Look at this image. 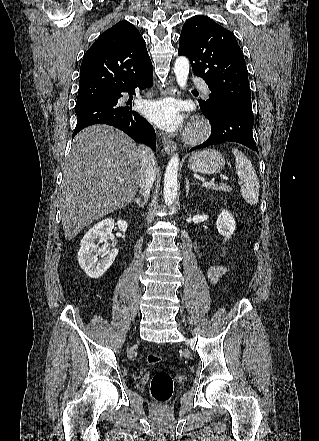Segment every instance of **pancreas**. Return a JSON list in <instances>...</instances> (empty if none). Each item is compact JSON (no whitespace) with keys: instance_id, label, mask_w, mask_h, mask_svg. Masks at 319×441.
<instances>
[{"instance_id":"cf45deb5","label":"pancreas","mask_w":319,"mask_h":441,"mask_svg":"<svg viewBox=\"0 0 319 441\" xmlns=\"http://www.w3.org/2000/svg\"><path fill=\"white\" fill-rule=\"evenodd\" d=\"M209 188L213 189V190H220L223 192H231L232 191V188L229 185H227L226 183H220L219 185L213 184Z\"/></svg>"}]
</instances>
